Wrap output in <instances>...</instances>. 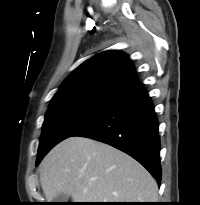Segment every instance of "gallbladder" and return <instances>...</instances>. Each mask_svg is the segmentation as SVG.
Segmentation results:
<instances>
[{"mask_svg":"<svg viewBox=\"0 0 200 205\" xmlns=\"http://www.w3.org/2000/svg\"><path fill=\"white\" fill-rule=\"evenodd\" d=\"M68 198L67 194L60 193L54 198V202H67Z\"/></svg>","mask_w":200,"mask_h":205,"instance_id":"obj_1","label":"gallbladder"}]
</instances>
